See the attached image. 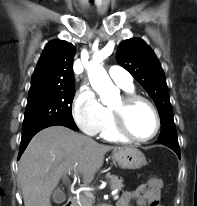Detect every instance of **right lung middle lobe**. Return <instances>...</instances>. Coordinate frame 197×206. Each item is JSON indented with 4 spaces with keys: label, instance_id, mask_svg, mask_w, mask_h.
I'll use <instances>...</instances> for the list:
<instances>
[{
    "label": "right lung middle lobe",
    "instance_id": "obj_1",
    "mask_svg": "<svg viewBox=\"0 0 197 206\" xmlns=\"http://www.w3.org/2000/svg\"><path fill=\"white\" fill-rule=\"evenodd\" d=\"M74 94L75 86L30 89L22 133L46 123L75 125L71 112Z\"/></svg>",
    "mask_w": 197,
    "mask_h": 206
}]
</instances>
